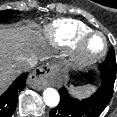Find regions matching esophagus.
<instances>
[{
	"label": "esophagus",
	"instance_id": "34e87169",
	"mask_svg": "<svg viewBox=\"0 0 117 117\" xmlns=\"http://www.w3.org/2000/svg\"><path fill=\"white\" fill-rule=\"evenodd\" d=\"M55 67L51 64H43L36 68L30 75V85L36 89H43L50 83Z\"/></svg>",
	"mask_w": 117,
	"mask_h": 117
}]
</instances>
